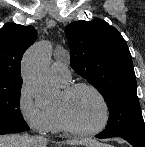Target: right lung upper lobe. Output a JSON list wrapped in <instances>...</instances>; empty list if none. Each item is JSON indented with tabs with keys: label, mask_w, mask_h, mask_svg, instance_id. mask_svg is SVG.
<instances>
[{
	"label": "right lung upper lobe",
	"mask_w": 145,
	"mask_h": 147,
	"mask_svg": "<svg viewBox=\"0 0 145 147\" xmlns=\"http://www.w3.org/2000/svg\"><path fill=\"white\" fill-rule=\"evenodd\" d=\"M36 37L33 26L7 23L0 29V89L22 85L20 62Z\"/></svg>",
	"instance_id": "cb5924a9"
}]
</instances>
